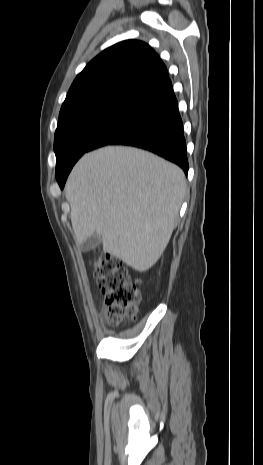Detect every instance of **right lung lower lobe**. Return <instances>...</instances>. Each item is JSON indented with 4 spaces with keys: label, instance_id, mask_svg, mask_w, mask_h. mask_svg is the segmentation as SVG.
<instances>
[{
    "label": "right lung lower lobe",
    "instance_id": "98d812e1",
    "mask_svg": "<svg viewBox=\"0 0 263 465\" xmlns=\"http://www.w3.org/2000/svg\"><path fill=\"white\" fill-rule=\"evenodd\" d=\"M106 145H127L151 151L188 173L183 123L169 79L140 95L89 151ZM67 176L58 179L61 189Z\"/></svg>",
    "mask_w": 263,
    "mask_h": 465
}]
</instances>
